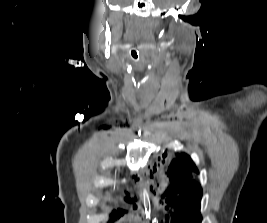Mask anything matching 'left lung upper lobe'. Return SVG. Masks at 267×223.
I'll return each instance as SVG.
<instances>
[{"mask_svg": "<svg viewBox=\"0 0 267 223\" xmlns=\"http://www.w3.org/2000/svg\"><path fill=\"white\" fill-rule=\"evenodd\" d=\"M192 172L198 173V169L186 153L176 155L167 172L169 177L166 192L168 205L164 206L162 214H177L182 223H187L185 214L197 218L198 223L201 221L202 188L199 182L192 180Z\"/></svg>", "mask_w": 267, "mask_h": 223, "instance_id": "1", "label": "left lung upper lobe"}]
</instances>
